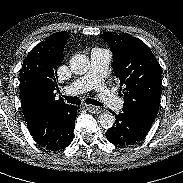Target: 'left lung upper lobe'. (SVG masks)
<instances>
[{
	"instance_id": "5c2ea615",
	"label": "left lung upper lobe",
	"mask_w": 183,
	"mask_h": 183,
	"mask_svg": "<svg viewBox=\"0 0 183 183\" xmlns=\"http://www.w3.org/2000/svg\"><path fill=\"white\" fill-rule=\"evenodd\" d=\"M101 37L113 53L114 73L124 88V108L154 121L162 85L161 68L154 54L146 44L128 33L105 32Z\"/></svg>"
}]
</instances>
